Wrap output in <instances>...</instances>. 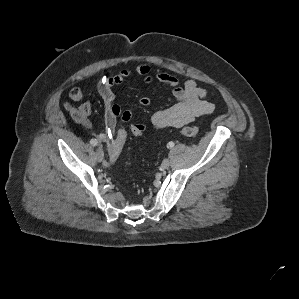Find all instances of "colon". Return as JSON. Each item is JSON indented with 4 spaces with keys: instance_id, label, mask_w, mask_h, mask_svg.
Masks as SVG:
<instances>
[{
    "instance_id": "1",
    "label": "colon",
    "mask_w": 299,
    "mask_h": 299,
    "mask_svg": "<svg viewBox=\"0 0 299 299\" xmlns=\"http://www.w3.org/2000/svg\"><path fill=\"white\" fill-rule=\"evenodd\" d=\"M66 110L72 117V119L80 124H87L89 119V112L85 107H75L70 104L65 105ZM145 129L138 123H130L125 126L116 128L113 132L110 141L107 146V162L106 165H112L119 158L126 144V141L130 136L140 137L144 133ZM198 128L196 126H184L180 130V133L189 138H194L198 135Z\"/></svg>"
}]
</instances>
